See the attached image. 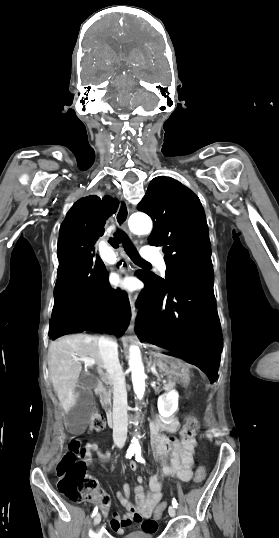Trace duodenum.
I'll use <instances>...</instances> for the list:
<instances>
[{
	"instance_id": "duodenum-1",
	"label": "duodenum",
	"mask_w": 279,
	"mask_h": 538,
	"mask_svg": "<svg viewBox=\"0 0 279 538\" xmlns=\"http://www.w3.org/2000/svg\"><path fill=\"white\" fill-rule=\"evenodd\" d=\"M105 386H106V383L104 381L98 382L97 390L99 392H102L104 390ZM106 413H107L106 414V417H107L106 422L107 423L105 424V427L107 429H111V428H113V423L112 422H113V418L115 417L114 410L112 408H108L106 410Z\"/></svg>"
}]
</instances>
